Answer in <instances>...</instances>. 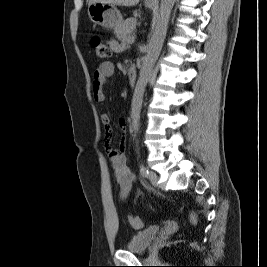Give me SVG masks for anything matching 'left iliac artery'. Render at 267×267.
<instances>
[{
  "instance_id": "44dca946",
  "label": "left iliac artery",
  "mask_w": 267,
  "mask_h": 267,
  "mask_svg": "<svg viewBox=\"0 0 267 267\" xmlns=\"http://www.w3.org/2000/svg\"><path fill=\"white\" fill-rule=\"evenodd\" d=\"M136 152H137L138 158H139L140 157V154H139L138 147L136 148ZM140 174H141L142 177H147L148 174H149L148 169L142 163H140Z\"/></svg>"
}]
</instances>
